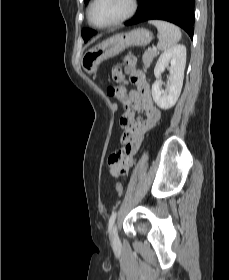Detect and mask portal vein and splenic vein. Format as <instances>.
<instances>
[{
  "instance_id": "portal-vein-and-splenic-vein-1",
  "label": "portal vein and splenic vein",
  "mask_w": 229,
  "mask_h": 280,
  "mask_svg": "<svg viewBox=\"0 0 229 280\" xmlns=\"http://www.w3.org/2000/svg\"><path fill=\"white\" fill-rule=\"evenodd\" d=\"M151 50H152V51H156L157 49H156V47L153 46V47L151 48Z\"/></svg>"
}]
</instances>
